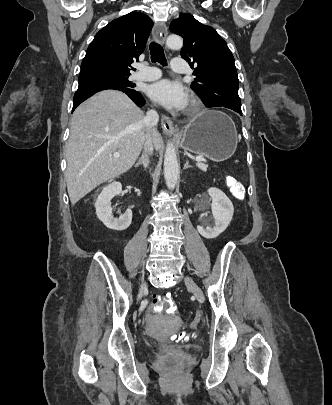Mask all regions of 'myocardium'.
I'll use <instances>...</instances> for the list:
<instances>
[{
    "label": "myocardium",
    "mask_w": 332,
    "mask_h": 405,
    "mask_svg": "<svg viewBox=\"0 0 332 405\" xmlns=\"http://www.w3.org/2000/svg\"><path fill=\"white\" fill-rule=\"evenodd\" d=\"M200 109V103L197 100V98L195 97H190L189 102H188V106L186 109V114L188 115H194L196 114Z\"/></svg>",
    "instance_id": "obj_1"
}]
</instances>
